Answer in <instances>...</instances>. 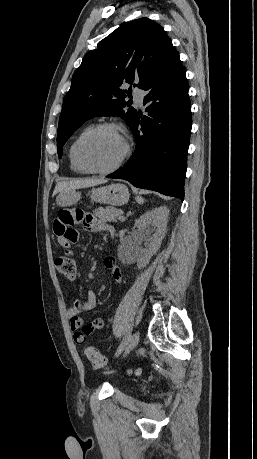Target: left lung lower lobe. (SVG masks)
<instances>
[{
	"instance_id": "1",
	"label": "left lung lower lobe",
	"mask_w": 257,
	"mask_h": 459,
	"mask_svg": "<svg viewBox=\"0 0 257 459\" xmlns=\"http://www.w3.org/2000/svg\"><path fill=\"white\" fill-rule=\"evenodd\" d=\"M143 90L148 116L137 114L130 125L135 152L107 178L183 200L192 118L185 69L175 48Z\"/></svg>"
}]
</instances>
